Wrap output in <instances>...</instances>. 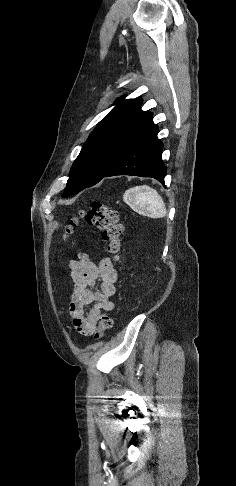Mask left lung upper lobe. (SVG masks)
Here are the masks:
<instances>
[{"mask_svg":"<svg viewBox=\"0 0 236 486\" xmlns=\"http://www.w3.org/2000/svg\"><path fill=\"white\" fill-rule=\"evenodd\" d=\"M115 103L74 161L63 198L98 183L131 144L153 125L152 113L140 109L141 98H119Z\"/></svg>","mask_w":236,"mask_h":486,"instance_id":"left-lung-upper-lobe-1","label":"left lung upper lobe"}]
</instances>
